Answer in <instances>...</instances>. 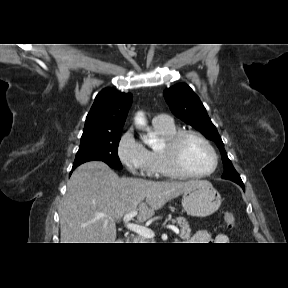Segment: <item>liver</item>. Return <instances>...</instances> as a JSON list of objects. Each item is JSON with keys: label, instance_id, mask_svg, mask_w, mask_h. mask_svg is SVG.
<instances>
[{"label": "liver", "instance_id": "liver-1", "mask_svg": "<svg viewBox=\"0 0 288 288\" xmlns=\"http://www.w3.org/2000/svg\"><path fill=\"white\" fill-rule=\"evenodd\" d=\"M198 182L120 178L104 162L84 163L67 182L59 209L61 243H114L118 219L137 210L143 223Z\"/></svg>", "mask_w": 288, "mask_h": 288}]
</instances>
